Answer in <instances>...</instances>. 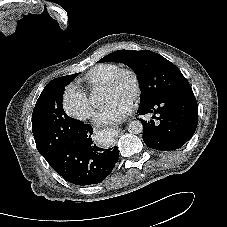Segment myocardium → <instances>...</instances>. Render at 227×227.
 Listing matches in <instances>:
<instances>
[{
    "instance_id": "1",
    "label": "myocardium",
    "mask_w": 227,
    "mask_h": 227,
    "mask_svg": "<svg viewBox=\"0 0 227 227\" xmlns=\"http://www.w3.org/2000/svg\"><path fill=\"white\" fill-rule=\"evenodd\" d=\"M124 77L129 78L132 83L131 101L136 102L141 93V81L139 74L132 68H120L104 83L103 88L115 87Z\"/></svg>"
}]
</instances>
